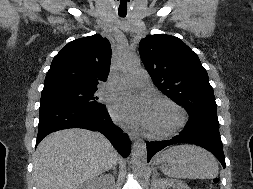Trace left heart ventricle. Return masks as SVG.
<instances>
[{
	"instance_id": "obj_1",
	"label": "left heart ventricle",
	"mask_w": 253,
	"mask_h": 189,
	"mask_svg": "<svg viewBox=\"0 0 253 189\" xmlns=\"http://www.w3.org/2000/svg\"><path fill=\"white\" fill-rule=\"evenodd\" d=\"M176 119L175 112L165 105H154L149 122L150 128L164 130L169 128Z\"/></svg>"
}]
</instances>
